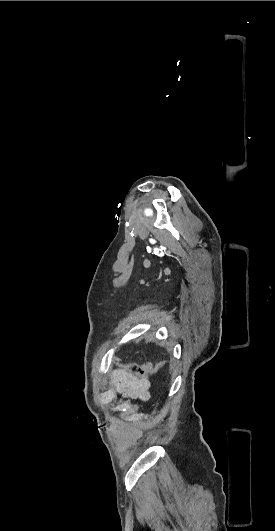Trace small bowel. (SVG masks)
Instances as JSON below:
<instances>
[{"label": "small bowel", "instance_id": "obj_1", "mask_svg": "<svg viewBox=\"0 0 275 531\" xmlns=\"http://www.w3.org/2000/svg\"><path fill=\"white\" fill-rule=\"evenodd\" d=\"M110 383L112 388L124 397L143 402L150 398L151 382L147 378L131 375L124 370H114L110 376Z\"/></svg>", "mask_w": 275, "mask_h": 531}]
</instances>
